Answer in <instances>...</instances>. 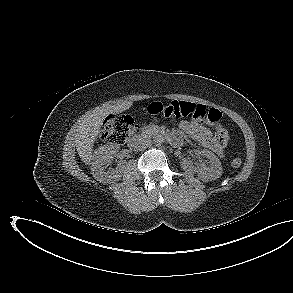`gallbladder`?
I'll list each match as a JSON object with an SVG mask.
<instances>
[{
    "instance_id": "bac80fb5",
    "label": "gallbladder",
    "mask_w": 293,
    "mask_h": 293,
    "mask_svg": "<svg viewBox=\"0 0 293 293\" xmlns=\"http://www.w3.org/2000/svg\"><path fill=\"white\" fill-rule=\"evenodd\" d=\"M114 121H115V118H109L108 123H109V124H113Z\"/></svg>"
}]
</instances>
